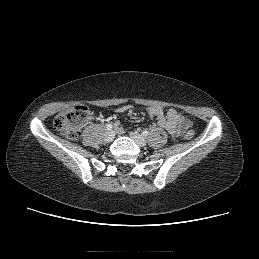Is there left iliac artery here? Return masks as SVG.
I'll use <instances>...</instances> for the list:
<instances>
[{
    "label": "left iliac artery",
    "instance_id": "left-iliac-artery-1",
    "mask_svg": "<svg viewBox=\"0 0 259 259\" xmlns=\"http://www.w3.org/2000/svg\"><path fill=\"white\" fill-rule=\"evenodd\" d=\"M144 136H148L149 132L147 130H144L142 133Z\"/></svg>",
    "mask_w": 259,
    "mask_h": 259
}]
</instances>
